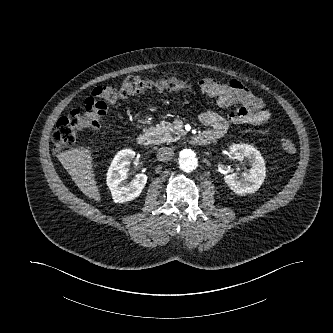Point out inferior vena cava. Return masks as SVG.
Returning <instances> with one entry per match:
<instances>
[{"label":"inferior vena cava","instance_id":"1","mask_svg":"<svg viewBox=\"0 0 333 333\" xmlns=\"http://www.w3.org/2000/svg\"><path fill=\"white\" fill-rule=\"evenodd\" d=\"M174 156V150L168 147H162L157 152V159L159 161H168L171 160Z\"/></svg>","mask_w":333,"mask_h":333}]
</instances>
